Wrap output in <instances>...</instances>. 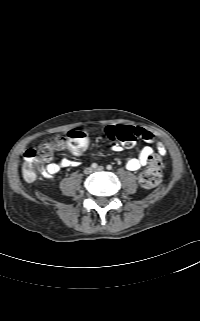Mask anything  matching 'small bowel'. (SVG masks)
I'll list each match as a JSON object with an SVG mask.
<instances>
[{
	"label": "small bowel",
	"instance_id": "obj_1",
	"mask_svg": "<svg viewBox=\"0 0 200 321\" xmlns=\"http://www.w3.org/2000/svg\"><path fill=\"white\" fill-rule=\"evenodd\" d=\"M140 129V137L148 144L144 146L139 152L138 156L130 157L127 160L126 168L130 171H137L141 167L145 166L149 163L151 156L153 155L154 149L151 146L152 144L156 145V149L161 156L166 154L165 146L156 141L154 134L144 128L137 127ZM55 143V151H60L65 148V142L58 138L54 140ZM112 150L119 152L122 150V147L119 144H113ZM48 164L42 169L41 174L45 178H51L55 174H57L61 169L72 167L75 165V162L68 159L63 158L59 162H52L51 158L48 159Z\"/></svg>",
	"mask_w": 200,
	"mask_h": 321
}]
</instances>
